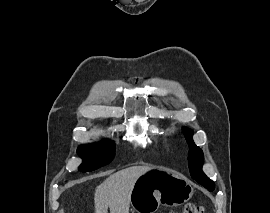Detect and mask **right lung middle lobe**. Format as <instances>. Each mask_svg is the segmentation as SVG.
<instances>
[{
    "instance_id": "dd1d6c3e",
    "label": "right lung middle lobe",
    "mask_w": 270,
    "mask_h": 213,
    "mask_svg": "<svg viewBox=\"0 0 270 213\" xmlns=\"http://www.w3.org/2000/svg\"><path fill=\"white\" fill-rule=\"evenodd\" d=\"M77 152L84 160L79 170L82 172L93 171L112 161L114 143L104 141L95 145H81Z\"/></svg>"
}]
</instances>
